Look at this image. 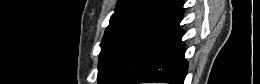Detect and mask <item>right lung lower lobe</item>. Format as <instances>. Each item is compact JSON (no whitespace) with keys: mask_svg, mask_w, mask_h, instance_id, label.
<instances>
[{"mask_svg":"<svg viewBox=\"0 0 260 84\" xmlns=\"http://www.w3.org/2000/svg\"><path fill=\"white\" fill-rule=\"evenodd\" d=\"M182 36L183 31L178 29L174 38L130 80V83L165 82L183 84L188 65L184 58L185 45L181 42Z\"/></svg>","mask_w":260,"mask_h":84,"instance_id":"obj_1","label":"right lung lower lobe"}]
</instances>
